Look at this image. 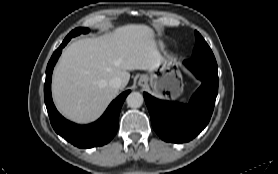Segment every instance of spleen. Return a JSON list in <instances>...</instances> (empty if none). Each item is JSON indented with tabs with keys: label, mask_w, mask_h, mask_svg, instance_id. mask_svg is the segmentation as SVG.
<instances>
[{
	"label": "spleen",
	"mask_w": 278,
	"mask_h": 174,
	"mask_svg": "<svg viewBox=\"0 0 278 174\" xmlns=\"http://www.w3.org/2000/svg\"><path fill=\"white\" fill-rule=\"evenodd\" d=\"M185 101V98L181 100V102Z\"/></svg>",
	"instance_id": "spleen-1"
}]
</instances>
